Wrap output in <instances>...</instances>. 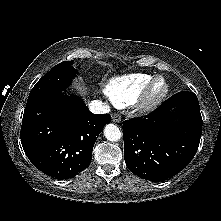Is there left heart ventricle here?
Listing matches in <instances>:
<instances>
[{"instance_id": "1", "label": "left heart ventricle", "mask_w": 221, "mask_h": 221, "mask_svg": "<svg viewBox=\"0 0 221 221\" xmlns=\"http://www.w3.org/2000/svg\"><path fill=\"white\" fill-rule=\"evenodd\" d=\"M163 89H164V82L158 81L154 86V93L158 94V93L162 92Z\"/></svg>"}]
</instances>
